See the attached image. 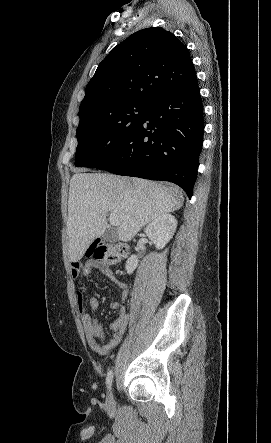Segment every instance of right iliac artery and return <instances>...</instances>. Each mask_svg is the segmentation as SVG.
I'll return each instance as SVG.
<instances>
[{
    "instance_id": "obj_1",
    "label": "right iliac artery",
    "mask_w": 271,
    "mask_h": 443,
    "mask_svg": "<svg viewBox=\"0 0 271 443\" xmlns=\"http://www.w3.org/2000/svg\"><path fill=\"white\" fill-rule=\"evenodd\" d=\"M112 380H113V372H112V370H110V371L107 373V377H106V385H107V388H108V389L111 387Z\"/></svg>"
}]
</instances>
